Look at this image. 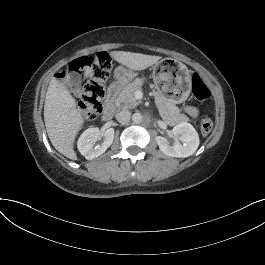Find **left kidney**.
Here are the masks:
<instances>
[{"instance_id": "1", "label": "left kidney", "mask_w": 265, "mask_h": 265, "mask_svg": "<svg viewBox=\"0 0 265 265\" xmlns=\"http://www.w3.org/2000/svg\"><path fill=\"white\" fill-rule=\"evenodd\" d=\"M155 141L163 154L174 158L190 157L199 145L198 133L191 124L186 122L179 123L172 129L170 139L156 136Z\"/></svg>"}]
</instances>
